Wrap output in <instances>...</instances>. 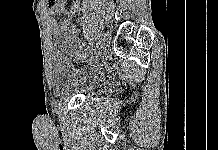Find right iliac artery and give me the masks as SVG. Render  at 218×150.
<instances>
[{
  "mask_svg": "<svg viewBox=\"0 0 218 150\" xmlns=\"http://www.w3.org/2000/svg\"><path fill=\"white\" fill-rule=\"evenodd\" d=\"M90 40H92V39H90ZM94 43H95V41H91V42H90V44H94ZM90 44L87 45V47L85 48L84 51L81 50L79 53H80L81 55H82V54L85 55V54H86V50L88 49V47H90Z\"/></svg>",
  "mask_w": 218,
  "mask_h": 150,
  "instance_id": "obj_1",
  "label": "right iliac artery"
}]
</instances>
